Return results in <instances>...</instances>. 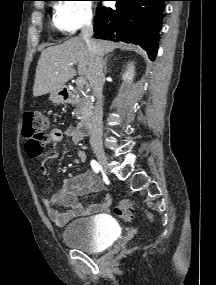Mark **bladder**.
<instances>
[{
    "instance_id": "obj_1",
    "label": "bladder",
    "mask_w": 216,
    "mask_h": 285,
    "mask_svg": "<svg viewBox=\"0 0 216 285\" xmlns=\"http://www.w3.org/2000/svg\"><path fill=\"white\" fill-rule=\"evenodd\" d=\"M116 238L117 227L105 216L75 219L62 232L67 246L88 253L106 250Z\"/></svg>"
}]
</instances>
